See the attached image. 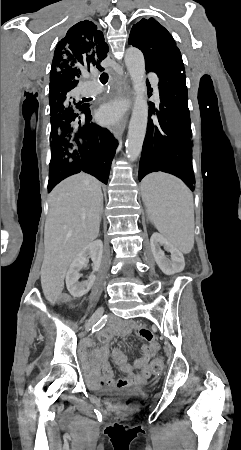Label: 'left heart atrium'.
<instances>
[{
  "label": "left heart atrium",
  "instance_id": "39dd6f15",
  "mask_svg": "<svg viewBox=\"0 0 241 450\" xmlns=\"http://www.w3.org/2000/svg\"><path fill=\"white\" fill-rule=\"evenodd\" d=\"M124 112L121 103H109L103 106L99 113V120L104 125H111L120 120Z\"/></svg>",
  "mask_w": 241,
  "mask_h": 450
}]
</instances>
